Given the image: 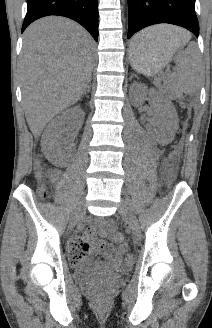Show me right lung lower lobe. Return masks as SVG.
<instances>
[{"label": "right lung lower lobe", "instance_id": "right-lung-lower-lobe-1", "mask_svg": "<svg viewBox=\"0 0 212 328\" xmlns=\"http://www.w3.org/2000/svg\"><path fill=\"white\" fill-rule=\"evenodd\" d=\"M48 15L65 16L77 21L97 41L98 0H27V13L22 32L36 19Z\"/></svg>", "mask_w": 212, "mask_h": 328}]
</instances>
